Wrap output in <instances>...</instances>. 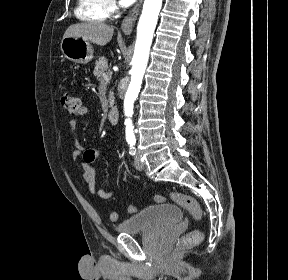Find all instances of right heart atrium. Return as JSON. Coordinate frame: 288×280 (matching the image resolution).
<instances>
[{
	"instance_id": "right-heart-atrium-1",
	"label": "right heart atrium",
	"mask_w": 288,
	"mask_h": 280,
	"mask_svg": "<svg viewBox=\"0 0 288 280\" xmlns=\"http://www.w3.org/2000/svg\"><path fill=\"white\" fill-rule=\"evenodd\" d=\"M107 1V10L109 14H112L116 11L117 6L115 0H106Z\"/></svg>"
}]
</instances>
